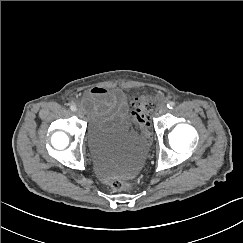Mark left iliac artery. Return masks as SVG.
Wrapping results in <instances>:
<instances>
[{"instance_id": "left-iliac-artery-1", "label": "left iliac artery", "mask_w": 243, "mask_h": 243, "mask_svg": "<svg viewBox=\"0 0 243 243\" xmlns=\"http://www.w3.org/2000/svg\"><path fill=\"white\" fill-rule=\"evenodd\" d=\"M167 107H168L169 109H173V108L175 107V102H173V101L169 102V103L167 104Z\"/></svg>"}]
</instances>
